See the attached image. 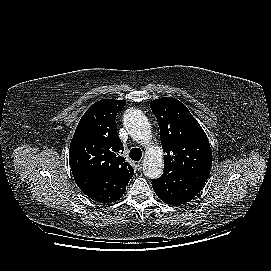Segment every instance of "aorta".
<instances>
[{"mask_svg":"<svg viewBox=\"0 0 271 271\" xmlns=\"http://www.w3.org/2000/svg\"><path fill=\"white\" fill-rule=\"evenodd\" d=\"M124 127L133 140L138 143L149 144L152 131L147 117L138 109H127L123 116ZM164 167L162 150L160 147H148L143 162L145 176L155 179L161 176Z\"/></svg>","mask_w":271,"mask_h":271,"instance_id":"aorta-1","label":"aorta"}]
</instances>
